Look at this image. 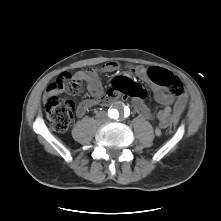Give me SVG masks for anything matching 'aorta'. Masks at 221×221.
<instances>
[{
  "label": "aorta",
  "instance_id": "1",
  "mask_svg": "<svg viewBox=\"0 0 221 221\" xmlns=\"http://www.w3.org/2000/svg\"><path fill=\"white\" fill-rule=\"evenodd\" d=\"M117 116H118V113L116 112L115 117H117Z\"/></svg>",
  "mask_w": 221,
  "mask_h": 221
}]
</instances>
